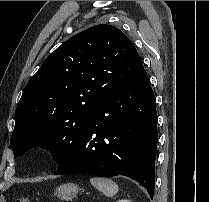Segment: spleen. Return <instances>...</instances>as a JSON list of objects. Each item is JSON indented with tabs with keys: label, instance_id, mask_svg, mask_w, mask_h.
I'll return each mask as SVG.
<instances>
[{
	"label": "spleen",
	"instance_id": "obj_1",
	"mask_svg": "<svg viewBox=\"0 0 209 202\" xmlns=\"http://www.w3.org/2000/svg\"><path fill=\"white\" fill-rule=\"evenodd\" d=\"M90 183L107 197H113L118 192V185L111 179L93 177Z\"/></svg>",
	"mask_w": 209,
	"mask_h": 202
}]
</instances>
